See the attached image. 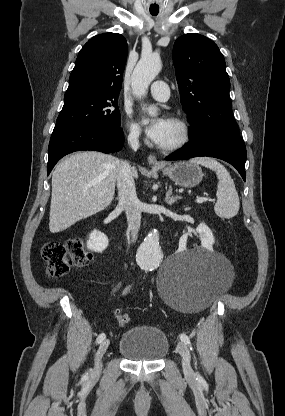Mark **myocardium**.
Listing matches in <instances>:
<instances>
[{
  "mask_svg": "<svg viewBox=\"0 0 285 416\" xmlns=\"http://www.w3.org/2000/svg\"><path fill=\"white\" fill-rule=\"evenodd\" d=\"M171 123L177 131V138L171 144L162 146L160 149L164 152H174L183 148L189 141V129L185 122L179 118H172Z\"/></svg>",
  "mask_w": 285,
  "mask_h": 416,
  "instance_id": "1",
  "label": "myocardium"
}]
</instances>
